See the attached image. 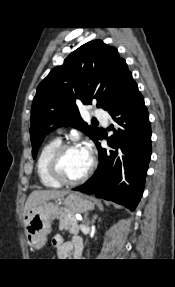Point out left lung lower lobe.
<instances>
[{"label": "left lung lower lobe", "mask_w": 175, "mask_h": 287, "mask_svg": "<svg viewBox=\"0 0 175 287\" xmlns=\"http://www.w3.org/2000/svg\"><path fill=\"white\" fill-rule=\"evenodd\" d=\"M122 128L108 139L113 150L95 143L100 163L94 175L74 190L134 210L140 201L151 157V126L144 99L134 84L124 103L110 113Z\"/></svg>", "instance_id": "left-lung-lower-lobe-1"}]
</instances>
